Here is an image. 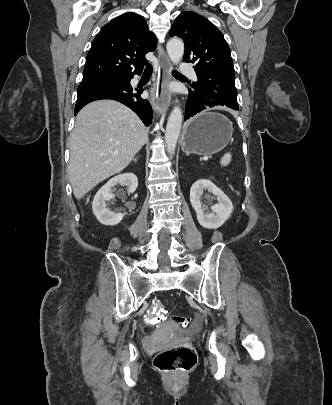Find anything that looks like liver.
<instances>
[{
  "mask_svg": "<svg viewBox=\"0 0 332 405\" xmlns=\"http://www.w3.org/2000/svg\"><path fill=\"white\" fill-rule=\"evenodd\" d=\"M147 141L144 124L123 104L99 100L83 107L69 144L67 172L75 198L125 169Z\"/></svg>",
  "mask_w": 332,
  "mask_h": 405,
  "instance_id": "1",
  "label": "liver"
}]
</instances>
